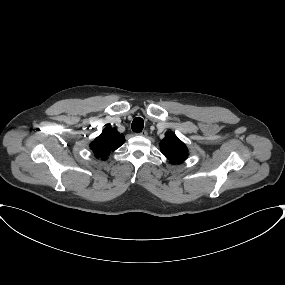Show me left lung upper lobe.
<instances>
[{
    "label": "left lung upper lobe",
    "mask_w": 285,
    "mask_h": 285,
    "mask_svg": "<svg viewBox=\"0 0 285 285\" xmlns=\"http://www.w3.org/2000/svg\"><path fill=\"white\" fill-rule=\"evenodd\" d=\"M161 152L169 159L170 163L178 164L188 157L186 145L173 133H167L160 142Z\"/></svg>",
    "instance_id": "1"
}]
</instances>
